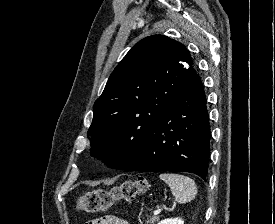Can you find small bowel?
<instances>
[{
  "label": "small bowel",
  "mask_w": 275,
  "mask_h": 224,
  "mask_svg": "<svg viewBox=\"0 0 275 224\" xmlns=\"http://www.w3.org/2000/svg\"><path fill=\"white\" fill-rule=\"evenodd\" d=\"M86 224H129L125 219L114 216L106 215L97 219L88 221Z\"/></svg>",
  "instance_id": "1"
}]
</instances>
